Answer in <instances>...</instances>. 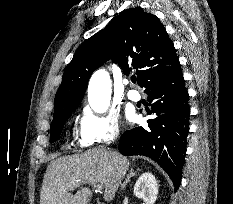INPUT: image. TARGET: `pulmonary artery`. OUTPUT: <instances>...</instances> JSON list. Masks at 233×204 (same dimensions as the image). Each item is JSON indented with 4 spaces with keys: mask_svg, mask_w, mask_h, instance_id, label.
<instances>
[{
    "mask_svg": "<svg viewBox=\"0 0 233 204\" xmlns=\"http://www.w3.org/2000/svg\"><path fill=\"white\" fill-rule=\"evenodd\" d=\"M127 97L132 101H139L141 99L140 93L134 89L128 90Z\"/></svg>",
    "mask_w": 233,
    "mask_h": 204,
    "instance_id": "1",
    "label": "pulmonary artery"
}]
</instances>
